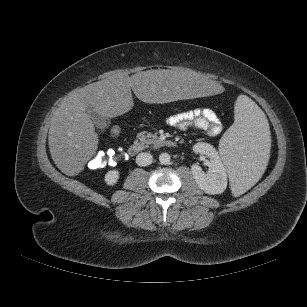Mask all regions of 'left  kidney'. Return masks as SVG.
<instances>
[{
  "label": "left kidney",
  "mask_w": 307,
  "mask_h": 307,
  "mask_svg": "<svg viewBox=\"0 0 307 307\" xmlns=\"http://www.w3.org/2000/svg\"><path fill=\"white\" fill-rule=\"evenodd\" d=\"M193 151L206 155L210 159L208 173H205L197 164L191 166L192 175L199 188L207 194L223 193L228 183L227 173L216 149L208 143L199 142L193 146Z\"/></svg>",
  "instance_id": "left-kidney-1"
}]
</instances>
